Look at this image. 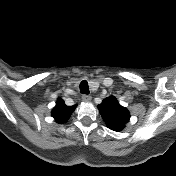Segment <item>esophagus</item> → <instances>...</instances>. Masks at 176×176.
<instances>
[{
	"instance_id": "1",
	"label": "esophagus",
	"mask_w": 176,
	"mask_h": 176,
	"mask_svg": "<svg viewBox=\"0 0 176 176\" xmlns=\"http://www.w3.org/2000/svg\"><path fill=\"white\" fill-rule=\"evenodd\" d=\"M82 101H84V102H89V101H91V96L90 95H83L82 96Z\"/></svg>"
}]
</instances>
